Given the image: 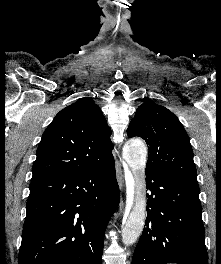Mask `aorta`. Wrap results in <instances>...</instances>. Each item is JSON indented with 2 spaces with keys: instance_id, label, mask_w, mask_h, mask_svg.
<instances>
[{
  "instance_id": "obj_1",
  "label": "aorta",
  "mask_w": 221,
  "mask_h": 264,
  "mask_svg": "<svg viewBox=\"0 0 221 264\" xmlns=\"http://www.w3.org/2000/svg\"><path fill=\"white\" fill-rule=\"evenodd\" d=\"M147 147L138 139H131L124 145L123 158L131 170V179L127 191L132 197L133 205L122 228V242L133 245L140 237L146 219V186L144 171L146 166Z\"/></svg>"
}]
</instances>
